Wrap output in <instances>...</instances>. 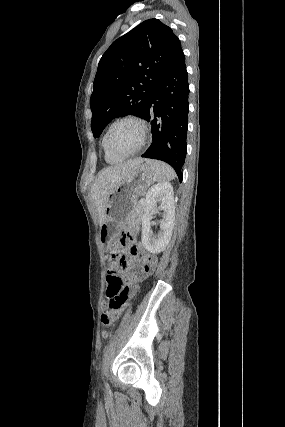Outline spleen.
I'll use <instances>...</instances> for the list:
<instances>
[{
    "instance_id": "1",
    "label": "spleen",
    "mask_w": 285,
    "mask_h": 427,
    "mask_svg": "<svg viewBox=\"0 0 285 427\" xmlns=\"http://www.w3.org/2000/svg\"><path fill=\"white\" fill-rule=\"evenodd\" d=\"M146 164L154 171L155 178L159 182H168L176 177L174 170L164 162L146 160Z\"/></svg>"
}]
</instances>
